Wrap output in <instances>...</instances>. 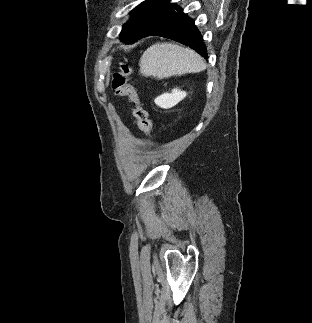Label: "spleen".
<instances>
[{"label":"spleen","mask_w":312,"mask_h":323,"mask_svg":"<svg viewBox=\"0 0 312 323\" xmlns=\"http://www.w3.org/2000/svg\"><path fill=\"white\" fill-rule=\"evenodd\" d=\"M206 64L194 50L177 44H154L147 48L140 60L142 76L170 78L182 74H197L205 70Z\"/></svg>","instance_id":"spleen-1"}]
</instances>
